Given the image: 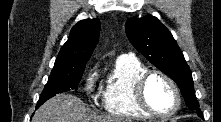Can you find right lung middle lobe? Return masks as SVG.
Wrapping results in <instances>:
<instances>
[{"mask_svg": "<svg viewBox=\"0 0 221 122\" xmlns=\"http://www.w3.org/2000/svg\"><path fill=\"white\" fill-rule=\"evenodd\" d=\"M85 66L80 67H54L48 82L39 98L37 105H42L46 100L58 93L77 90Z\"/></svg>", "mask_w": 221, "mask_h": 122, "instance_id": "dd1d6c3e", "label": "right lung middle lobe"}]
</instances>
